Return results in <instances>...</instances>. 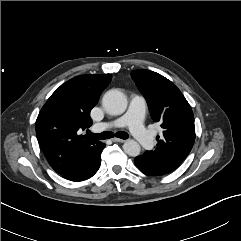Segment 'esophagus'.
Masks as SVG:
<instances>
[{"instance_id":"34e87169","label":"esophagus","mask_w":241,"mask_h":241,"mask_svg":"<svg viewBox=\"0 0 241 241\" xmlns=\"http://www.w3.org/2000/svg\"><path fill=\"white\" fill-rule=\"evenodd\" d=\"M112 141H113V142H119V143L125 142L124 139H120V138H113Z\"/></svg>"}]
</instances>
